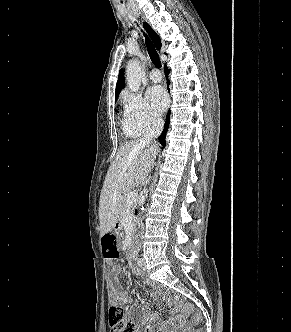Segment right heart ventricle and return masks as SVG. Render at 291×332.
I'll use <instances>...</instances> for the list:
<instances>
[{
    "mask_svg": "<svg viewBox=\"0 0 291 332\" xmlns=\"http://www.w3.org/2000/svg\"><path fill=\"white\" fill-rule=\"evenodd\" d=\"M124 131H125L126 135L129 137H136L139 135V133L137 131H135L134 129H132L131 127H129L125 123V121H124Z\"/></svg>",
    "mask_w": 291,
    "mask_h": 332,
    "instance_id": "right-heart-ventricle-1",
    "label": "right heart ventricle"
}]
</instances>
